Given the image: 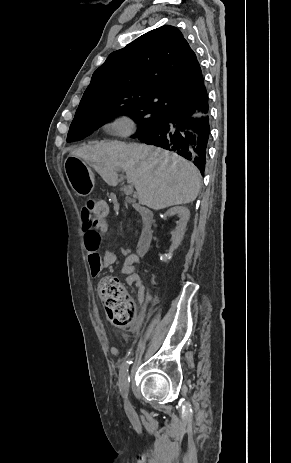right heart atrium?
I'll use <instances>...</instances> for the list:
<instances>
[{"instance_id":"right-heart-atrium-1","label":"right heart atrium","mask_w":291,"mask_h":463,"mask_svg":"<svg viewBox=\"0 0 291 463\" xmlns=\"http://www.w3.org/2000/svg\"><path fill=\"white\" fill-rule=\"evenodd\" d=\"M108 131L114 135L125 136L132 133L134 124L127 115H120L114 118L108 125Z\"/></svg>"}]
</instances>
